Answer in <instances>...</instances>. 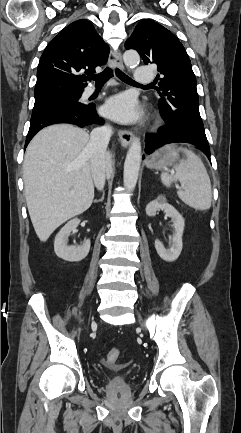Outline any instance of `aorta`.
<instances>
[{"label":"aorta","instance_id":"obj_1","mask_svg":"<svg viewBox=\"0 0 241 433\" xmlns=\"http://www.w3.org/2000/svg\"><path fill=\"white\" fill-rule=\"evenodd\" d=\"M123 60L127 68L133 69L139 65L140 56L136 51L129 50L124 53ZM141 157V142L138 137H135L128 149L124 163L123 183L127 191H133L136 186Z\"/></svg>","mask_w":241,"mask_h":433}]
</instances>
